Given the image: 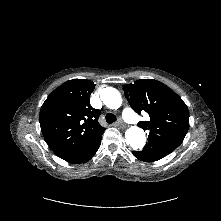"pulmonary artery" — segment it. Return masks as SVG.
Masks as SVG:
<instances>
[{"label": "pulmonary artery", "mask_w": 221, "mask_h": 221, "mask_svg": "<svg viewBox=\"0 0 221 221\" xmlns=\"http://www.w3.org/2000/svg\"><path fill=\"white\" fill-rule=\"evenodd\" d=\"M123 117L124 119L130 123V124H137L140 122V118L138 115H136L134 113L133 110H131L130 108L126 107L123 109Z\"/></svg>", "instance_id": "1"}]
</instances>
